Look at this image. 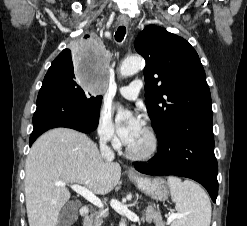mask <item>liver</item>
I'll return each mask as SVG.
<instances>
[{"mask_svg": "<svg viewBox=\"0 0 247 226\" xmlns=\"http://www.w3.org/2000/svg\"><path fill=\"white\" fill-rule=\"evenodd\" d=\"M121 177V167L101 156L85 134L55 128L40 136L25 164V199L29 226H57L62 207L70 199L66 187L84 185L97 195L111 192Z\"/></svg>", "mask_w": 247, "mask_h": 226, "instance_id": "6515ba94", "label": "liver"}]
</instances>
